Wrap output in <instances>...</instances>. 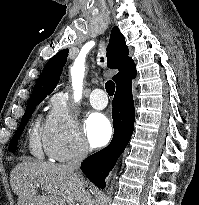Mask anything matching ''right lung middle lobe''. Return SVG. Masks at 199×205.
<instances>
[{
  "label": "right lung middle lobe",
  "mask_w": 199,
  "mask_h": 205,
  "mask_svg": "<svg viewBox=\"0 0 199 205\" xmlns=\"http://www.w3.org/2000/svg\"><path fill=\"white\" fill-rule=\"evenodd\" d=\"M43 99L32 100L27 103L25 114L22 117L21 123L19 128L17 129L16 133L12 137L10 144H9V151L14 153L16 151V147L18 144V139L20 134L23 132L25 125L27 124L29 118L31 117L32 113L34 112L36 105H38Z\"/></svg>",
  "instance_id": "1"
}]
</instances>
